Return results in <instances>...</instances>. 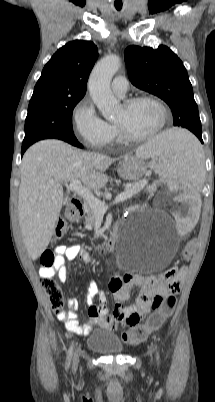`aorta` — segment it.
I'll use <instances>...</instances> for the list:
<instances>
[{"label": "aorta", "instance_id": "obj_1", "mask_svg": "<svg viewBox=\"0 0 215 402\" xmlns=\"http://www.w3.org/2000/svg\"><path fill=\"white\" fill-rule=\"evenodd\" d=\"M120 66L118 56L108 55L94 66L88 80L90 96L107 120L113 119L119 111V102L111 91L110 82Z\"/></svg>", "mask_w": 215, "mask_h": 402}]
</instances>
